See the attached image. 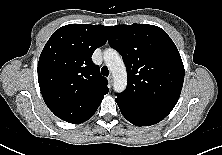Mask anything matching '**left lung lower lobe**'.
Listing matches in <instances>:
<instances>
[{
  "instance_id": "0a47b994",
  "label": "left lung lower lobe",
  "mask_w": 222,
  "mask_h": 155,
  "mask_svg": "<svg viewBox=\"0 0 222 155\" xmlns=\"http://www.w3.org/2000/svg\"><path fill=\"white\" fill-rule=\"evenodd\" d=\"M116 102H117L118 107L120 108V111L123 114V116L129 122H131L132 124H134L136 126L154 125L165 118L160 115L135 110V109H133L121 102H118L117 100H116Z\"/></svg>"
}]
</instances>
